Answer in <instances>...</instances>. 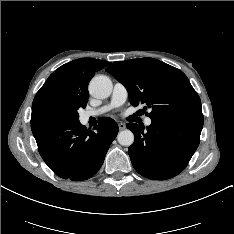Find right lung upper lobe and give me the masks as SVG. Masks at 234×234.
I'll use <instances>...</instances> for the list:
<instances>
[{
    "instance_id": "cb5924a9",
    "label": "right lung upper lobe",
    "mask_w": 234,
    "mask_h": 234,
    "mask_svg": "<svg viewBox=\"0 0 234 234\" xmlns=\"http://www.w3.org/2000/svg\"><path fill=\"white\" fill-rule=\"evenodd\" d=\"M110 62L94 58H80L56 69L37 92L33 104L31 123L48 119L50 104L61 98L89 97L88 83L95 72Z\"/></svg>"
}]
</instances>
